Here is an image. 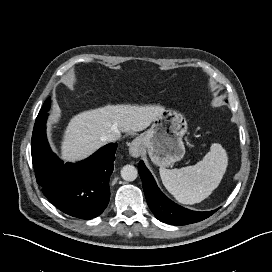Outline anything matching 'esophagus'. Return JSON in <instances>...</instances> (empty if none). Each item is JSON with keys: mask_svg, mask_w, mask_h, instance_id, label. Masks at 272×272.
<instances>
[{"mask_svg": "<svg viewBox=\"0 0 272 272\" xmlns=\"http://www.w3.org/2000/svg\"><path fill=\"white\" fill-rule=\"evenodd\" d=\"M142 149V140L140 138H136L129 146V153L132 157L137 158L141 155Z\"/></svg>", "mask_w": 272, "mask_h": 272, "instance_id": "obj_1", "label": "esophagus"}]
</instances>
